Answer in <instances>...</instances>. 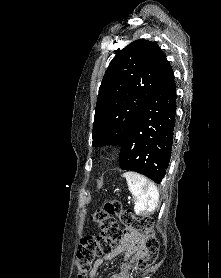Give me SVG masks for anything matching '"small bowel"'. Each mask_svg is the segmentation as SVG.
Here are the masks:
<instances>
[{"instance_id": "small-bowel-1", "label": "small bowel", "mask_w": 221, "mask_h": 278, "mask_svg": "<svg viewBox=\"0 0 221 278\" xmlns=\"http://www.w3.org/2000/svg\"><path fill=\"white\" fill-rule=\"evenodd\" d=\"M124 254V262L120 265L118 273L113 274L110 278H132L128 270V264L134 258L143 256V236L136 230L125 228L123 238L120 242L107 254L98 258L90 272V278L97 277L100 268L106 261H110Z\"/></svg>"}]
</instances>
